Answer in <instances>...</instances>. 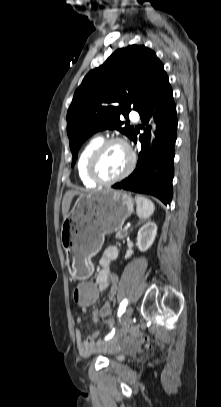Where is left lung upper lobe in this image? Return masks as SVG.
Returning <instances> with one entry per match:
<instances>
[{
    "label": "left lung upper lobe",
    "mask_w": 221,
    "mask_h": 407,
    "mask_svg": "<svg viewBox=\"0 0 221 407\" xmlns=\"http://www.w3.org/2000/svg\"><path fill=\"white\" fill-rule=\"evenodd\" d=\"M166 76L156 54L142 45L118 49L91 70L76 89L67 113L72 166L82 143L99 130L116 129L132 139L134 128L123 127L120 114L126 115L131 105L139 111Z\"/></svg>",
    "instance_id": "5c2ea615"
}]
</instances>
